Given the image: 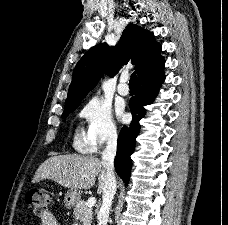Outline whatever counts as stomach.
<instances>
[{
	"mask_svg": "<svg viewBox=\"0 0 228 225\" xmlns=\"http://www.w3.org/2000/svg\"><path fill=\"white\" fill-rule=\"evenodd\" d=\"M80 195L81 191H79V189H68L64 197V203L66 207H74L77 201H79Z\"/></svg>",
	"mask_w": 228,
	"mask_h": 225,
	"instance_id": "obj_1",
	"label": "stomach"
}]
</instances>
